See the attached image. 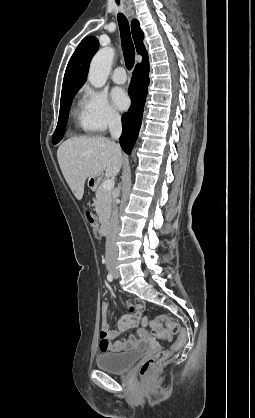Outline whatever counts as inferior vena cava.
Masks as SVG:
<instances>
[{
  "instance_id": "1",
  "label": "inferior vena cava",
  "mask_w": 255,
  "mask_h": 418,
  "mask_svg": "<svg viewBox=\"0 0 255 418\" xmlns=\"http://www.w3.org/2000/svg\"><path fill=\"white\" fill-rule=\"evenodd\" d=\"M108 126L113 139H119L122 133L121 117L117 113H110L108 117ZM119 189L117 190V196ZM119 232L118 208L116 202L113 203V211L109 225V231L106 236L105 259L106 262L115 261L118 255L116 238Z\"/></svg>"
}]
</instances>
